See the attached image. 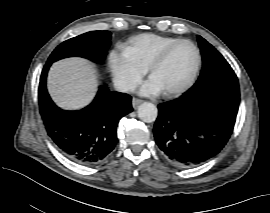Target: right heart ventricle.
<instances>
[{
	"label": "right heart ventricle",
	"instance_id": "e07e8e85",
	"mask_svg": "<svg viewBox=\"0 0 270 213\" xmlns=\"http://www.w3.org/2000/svg\"><path fill=\"white\" fill-rule=\"evenodd\" d=\"M180 39L156 34H143L123 47L126 57L134 64L148 68L150 62L167 46Z\"/></svg>",
	"mask_w": 270,
	"mask_h": 213
}]
</instances>
